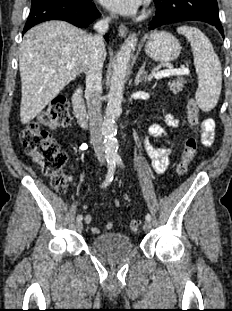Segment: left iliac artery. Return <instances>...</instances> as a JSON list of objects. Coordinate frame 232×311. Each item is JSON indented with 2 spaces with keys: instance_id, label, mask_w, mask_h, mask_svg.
Listing matches in <instances>:
<instances>
[{
  "instance_id": "left-iliac-artery-1",
  "label": "left iliac artery",
  "mask_w": 232,
  "mask_h": 311,
  "mask_svg": "<svg viewBox=\"0 0 232 311\" xmlns=\"http://www.w3.org/2000/svg\"><path fill=\"white\" fill-rule=\"evenodd\" d=\"M115 162H116V164H118V165H120V166H122V164H123V163H122V159H121L120 157L115 158ZM151 219H152V218H151V215H150V214H147V215H146V220L150 222Z\"/></svg>"
}]
</instances>
